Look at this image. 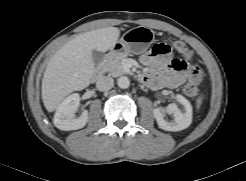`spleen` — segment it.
<instances>
[{
    "label": "spleen",
    "mask_w": 246,
    "mask_h": 181,
    "mask_svg": "<svg viewBox=\"0 0 246 181\" xmlns=\"http://www.w3.org/2000/svg\"><path fill=\"white\" fill-rule=\"evenodd\" d=\"M202 100H203L202 96H200V97L197 98V101H196V104H197L196 107H197V109L200 108V106L202 104Z\"/></svg>",
    "instance_id": "obj_1"
}]
</instances>
